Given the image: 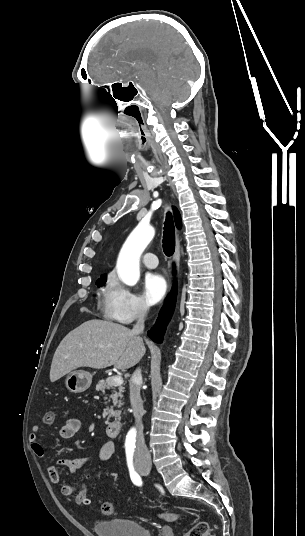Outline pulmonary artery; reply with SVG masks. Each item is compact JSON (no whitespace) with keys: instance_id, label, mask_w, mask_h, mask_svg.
Returning <instances> with one entry per match:
<instances>
[{"instance_id":"1","label":"pulmonary artery","mask_w":305,"mask_h":536,"mask_svg":"<svg viewBox=\"0 0 305 536\" xmlns=\"http://www.w3.org/2000/svg\"><path fill=\"white\" fill-rule=\"evenodd\" d=\"M142 263L150 269H154L158 266V263L156 261V256L152 252H146L141 257Z\"/></svg>"}]
</instances>
